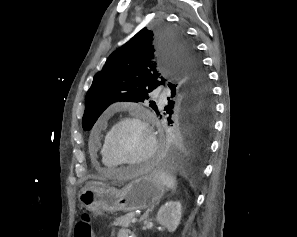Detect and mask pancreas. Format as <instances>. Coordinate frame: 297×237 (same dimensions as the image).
<instances>
[{"label":"pancreas","instance_id":"pancreas-1","mask_svg":"<svg viewBox=\"0 0 297 237\" xmlns=\"http://www.w3.org/2000/svg\"><path fill=\"white\" fill-rule=\"evenodd\" d=\"M135 217V213L130 212L124 216L118 217L116 218V220L113 222L114 226H121L123 228H127L130 223L131 220Z\"/></svg>","mask_w":297,"mask_h":237}]
</instances>
